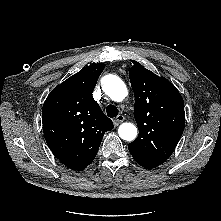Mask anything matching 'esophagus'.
<instances>
[{"label":"esophagus","mask_w":221,"mask_h":221,"mask_svg":"<svg viewBox=\"0 0 221 221\" xmlns=\"http://www.w3.org/2000/svg\"><path fill=\"white\" fill-rule=\"evenodd\" d=\"M125 117L123 115H118L114 120L113 123L115 126H118L120 123L124 121Z\"/></svg>","instance_id":"34e87169"}]
</instances>
